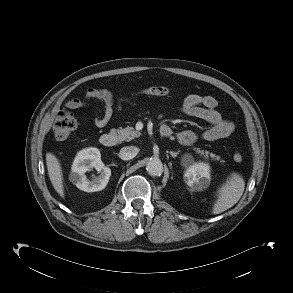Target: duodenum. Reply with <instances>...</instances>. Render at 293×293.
Listing matches in <instances>:
<instances>
[{
	"label": "duodenum",
	"mask_w": 293,
	"mask_h": 293,
	"mask_svg": "<svg viewBox=\"0 0 293 293\" xmlns=\"http://www.w3.org/2000/svg\"><path fill=\"white\" fill-rule=\"evenodd\" d=\"M163 137L169 136L168 130L161 129L160 131ZM100 144L105 148H112L116 144V136L113 133H104L100 137Z\"/></svg>",
	"instance_id": "410a0bca"
}]
</instances>
